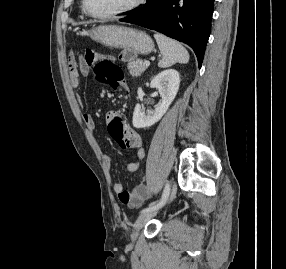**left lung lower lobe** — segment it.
Segmentation results:
<instances>
[{
  "mask_svg": "<svg viewBox=\"0 0 286 269\" xmlns=\"http://www.w3.org/2000/svg\"><path fill=\"white\" fill-rule=\"evenodd\" d=\"M148 0L138 10L120 19L156 30L188 44L195 52L199 67L202 65L211 30L214 0Z\"/></svg>",
  "mask_w": 286,
  "mask_h": 269,
  "instance_id": "left-lung-lower-lobe-1",
  "label": "left lung lower lobe"
}]
</instances>
